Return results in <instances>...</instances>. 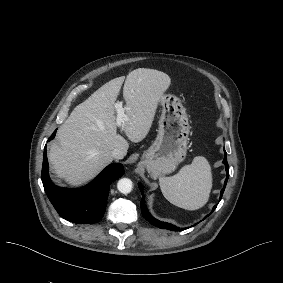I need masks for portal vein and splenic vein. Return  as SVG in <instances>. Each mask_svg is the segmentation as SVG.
I'll use <instances>...</instances> for the list:
<instances>
[{
  "mask_svg": "<svg viewBox=\"0 0 283 283\" xmlns=\"http://www.w3.org/2000/svg\"><path fill=\"white\" fill-rule=\"evenodd\" d=\"M114 107L117 112V118H116V125L120 127L124 121L128 120L127 115L124 113L125 108L122 106V102H117L114 104Z\"/></svg>",
  "mask_w": 283,
  "mask_h": 283,
  "instance_id": "1",
  "label": "portal vein and splenic vein"
}]
</instances>
